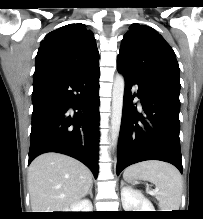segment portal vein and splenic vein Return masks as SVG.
Returning a JSON list of instances; mask_svg holds the SVG:
<instances>
[{
  "instance_id": "obj_1",
  "label": "portal vein and splenic vein",
  "mask_w": 203,
  "mask_h": 219,
  "mask_svg": "<svg viewBox=\"0 0 203 219\" xmlns=\"http://www.w3.org/2000/svg\"><path fill=\"white\" fill-rule=\"evenodd\" d=\"M157 193V190H155L154 192H150L151 195H155Z\"/></svg>"
}]
</instances>
